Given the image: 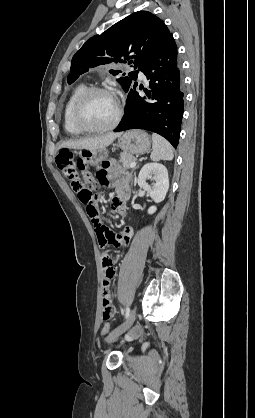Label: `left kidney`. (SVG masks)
<instances>
[{
    "instance_id": "left-kidney-1",
    "label": "left kidney",
    "mask_w": 255,
    "mask_h": 418,
    "mask_svg": "<svg viewBox=\"0 0 255 418\" xmlns=\"http://www.w3.org/2000/svg\"><path fill=\"white\" fill-rule=\"evenodd\" d=\"M149 179L154 181L152 185L147 183ZM138 185L147 191L155 203L163 201L169 189V178L166 167L159 163L145 164L139 172ZM156 210V206H151L148 209V214H153Z\"/></svg>"
}]
</instances>
